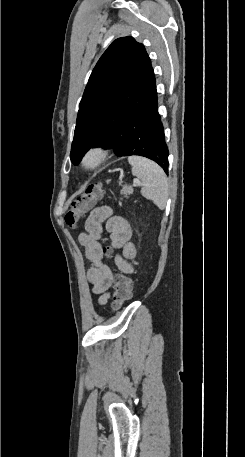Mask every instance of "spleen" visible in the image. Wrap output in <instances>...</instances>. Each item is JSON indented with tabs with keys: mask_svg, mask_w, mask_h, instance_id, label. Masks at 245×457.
Returning <instances> with one entry per match:
<instances>
[{
	"mask_svg": "<svg viewBox=\"0 0 245 457\" xmlns=\"http://www.w3.org/2000/svg\"><path fill=\"white\" fill-rule=\"evenodd\" d=\"M128 162L131 164L132 174L138 176L143 182L141 192L145 198L153 200L158 208H165L168 200L169 186L167 176L154 160L145 158V156H128Z\"/></svg>",
	"mask_w": 245,
	"mask_h": 457,
	"instance_id": "obj_1",
	"label": "spleen"
}]
</instances>
